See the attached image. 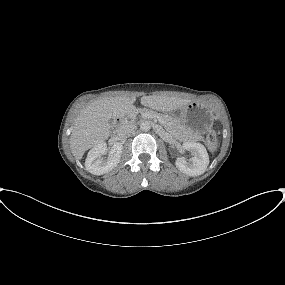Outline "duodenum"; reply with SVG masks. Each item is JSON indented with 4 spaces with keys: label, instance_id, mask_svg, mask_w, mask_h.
Instances as JSON below:
<instances>
[{
    "label": "duodenum",
    "instance_id": "1",
    "mask_svg": "<svg viewBox=\"0 0 285 285\" xmlns=\"http://www.w3.org/2000/svg\"><path fill=\"white\" fill-rule=\"evenodd\" d=\"M126 119L127 118L124 114H120L116 117V124L114 129L117 136H119L125 128Z\"/></svg>",
    "mask_w": 285,
    "mask_h": 285
}]
</instances>
